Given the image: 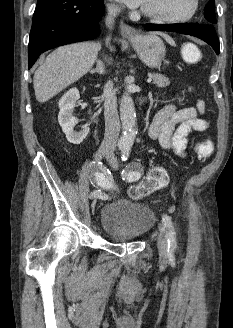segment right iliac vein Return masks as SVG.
Wrapping results in <instances>:
<instances>
[{"label":"right iliac vein","instance_id":"right-iliac-vein-1","mask_svg":"<svg viewBox=\"0 0 233 328\" xmlns=\"http://www.w3.org/2000/svg\"><path fill=\"white\" fill-rule=\"evenodd\" d=\"M109 153V149L107 147H100L96 152L95 159L97 162L101 161L107 154ZM96 207V200H93L91 203L92 212L94 213Z\"/></svg>","mask_w":233,"mask_h":328}]
</instances>
